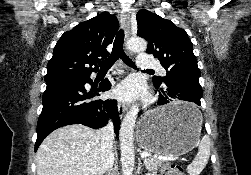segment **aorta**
<instances>
[{
    "instance_id": "aorta-1",
    "label": "aorta",
    "mask_w": 251,
    "mask_h": 175,
    "mask_svg": "<svg viewBox=\"0 0 251 175\" xmlns=\"http://www.w3.org/2000/svg\"><path fill=\"white\" fill-rule=\"evenodd\" d=\"M128 46L132 52H145L147 42L142 40V38H130V40H128ZM138 111V103H132L129 111L124 115L119 131L123 175H132L134 169L135 157L133 133Z\"/></svg>"
}]
</instances>
